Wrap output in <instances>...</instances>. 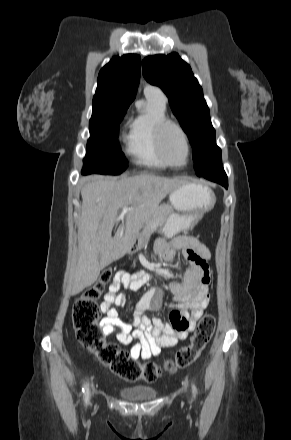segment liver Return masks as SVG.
Instances as JSON below:
<instances>
[{"label":"liver","instance_id":"6515ba94","mask_svg":"<svg viewBox=\"0 0 291 440\" xmlns=\"http://www.w3.org/2000/svg\"><path fill=\"white\" fill-rule=\"evenodd\" d=\"M183 182L143 173L120 180L96 177L82 187L78 222L79 258L72 294L92 285L102 269L131 249L140 229L160 202ZM122 207L133 209L125 214L112 237V229L119 220L118 211Z\"/></svg>","mask_w":291,"mask_h":440}]
</instances>
